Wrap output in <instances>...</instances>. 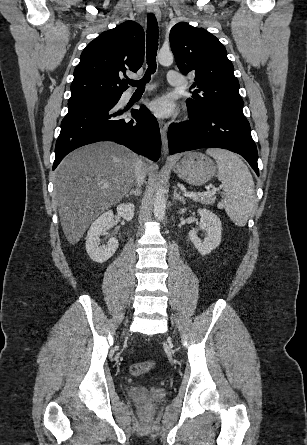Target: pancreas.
Listing matches in <instances>:
<instances>
[{"mask_svg": "<svg viewBox=\"0 0 307 445\" xmlns=\"http://www.w3.org/2000/svg\"><path fill=\"white\" fill-rule=\"evenodd\" d=\"M193 200H196V202H201V204H214L216 200V196H213V194H204V196H192Z\"/></svg>", "mask_w": 307, "mask_h": 445, "instance_id": "1", "label": "pancreas"}]
</instances>
